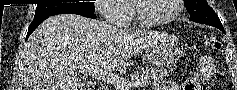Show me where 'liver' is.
Listing matches in <instances>:
<instances>
[{
    "mask_svg": "<svg viewBox=\"0 0 237 90\" xmlns=\"http://www.w3.org/2000/svg\"><path fill=\"white\" fill-rule=\"evenodd\" d=\"M148 30H116L107 22L76 14L51 16L29 36L22 56L24 90H89L79 68L88 74H110L151 46Z\"/></svg>",
    "mask_w": 237,
    "mask_h": 90,
    "instance_id": "liver-1",
    "label": "liver"
}]
</instances>
